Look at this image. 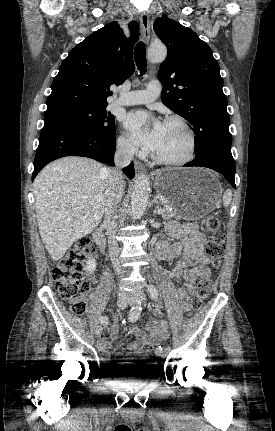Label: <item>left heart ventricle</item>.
I'll return each mask as SVG.
<instances>
[{
	"label": "left heart ventricle",
	"instance_id": "obj_1",
	"mask_svg": "<svg viewBox=\"0 0 275 431\" xmlns=\"http://www.w3.org/2000/svg\"><path fill=\"white\" fill-rule=\"evenodd\" d=\"M188 150V138L184 129L177 123H165L162 138L154 151L167 160H177L184 157Z\"/></svg>",
	"mask_w": 275,
	"mask_h": 431
}]
</instances>
